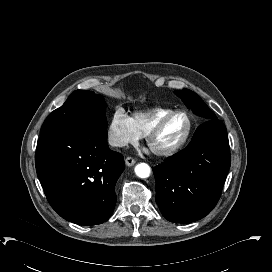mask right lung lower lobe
I'll list each match as a JSON object with an SVG mask.
<instances>
[{
    "label": "right lung lower lobe",
    "mask_w": 272,
    "mask_h": 272,
    "mask_svg": "<svg viewBox=\"0 0 272 272\" xmlns=\"http://www.w3.org/2000/svg\"><path fill=\"white\" fill-rule=\"evenodd\" d=\"M35 164L48 202L64 219L96 225L112 215L124 161L109 149L101 124L81 123L42 134Z\"/></svg>",
    "instance_id": "98d812e1"
}]
</instances>
